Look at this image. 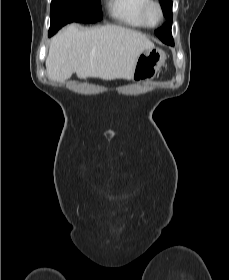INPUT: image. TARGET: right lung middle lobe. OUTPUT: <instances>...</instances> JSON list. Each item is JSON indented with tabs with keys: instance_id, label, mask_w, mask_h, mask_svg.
Wrapping results in <instances>:
<instances>
[{
	"instance_id": "obj_1",
	"label": "right lung middle lobe",
	"mask_w": 229,
	"mask_h": 280,
	"mask_svg": "<svg viewBox=\"0 0 229 280\" xmlns=\"http://www.w3.org/2000/svg\"><path fill=\"white\" fill-rule=\"evenodd\" d=\"M102 19L100 0H52L49 35L70 22L93 23Z\"/></svg>"
}]
</instances>
